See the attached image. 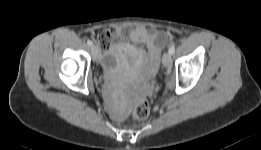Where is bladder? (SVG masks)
Segmentation results:
<instances>
[{"label": "bladder", "mask_w": 261, "mask_h": 150, "mask_svg": "<svg viewBox=\"0 0 261 150\" xmlns=\"http://www.w3.org/2000/svg\"><path fill=\"white\" fill-rule=\"evenodd\" d=\"M121 48H112L102 58V66L106 71L115 70L119 66Z\"/></svg>", "instance_id": "obj_1"}]
</instances>
